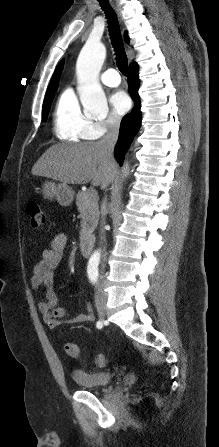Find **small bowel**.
Wrapping results in <instances>:
<instances>
[{
	"mask_svg": "<svg viewBox=\"0 0 219 447\" xmlns=\"http://www.w3.org/2000/svg\"><path fill=\"white\" fill-rule=\"evenodd\" d=\"M67 239L65 235L58 234L50 242L32 269L30 275V286L34 293L42 292L45 300L38 302V308L42 314L44 323L51 329L58 328L66 323H88L95 319L90 307L86 311L71 317L70 313L57 306L58 300L53 287V272L60 266Z\"/></svg>",
	"mask_w": 219,
	"mask_h": 447,
	"instance_id": "obj_1",
	"label": "small bowel"
}]
</instances>
